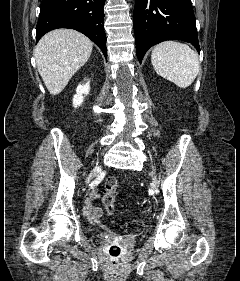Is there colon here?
I'll use <instances>...</instances> for the list:
<instances>
[{
    "label": "colon",
    "mask_w": 240,
    "mask_h": 281,
    "mask_svg": "<svg viewBox=\"0 0 240 281\" xmlns=\"http://www.w3.org/2000/svg\"><path fill=\"white\" fill-rule=\"evenodd\" d=\"M117 190V180L110 177L106 180L102 202L109 214H113L115 211V199ZM143 230V224L138 220H131L126 224V232L132 235H138Z\"/></svg>",
    "instance_id": "5ec220e1"
}]
</instances>
